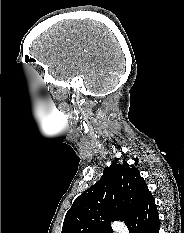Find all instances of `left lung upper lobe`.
I'll use <instances>...</instances> for the list:
<instances>
[{
  "mask_svg": "<svg viewBox=\"0 0 184 233\" xmlns=\"http://www.w3.org/2000/svg\"><path fill=\"white\" fill-rule=\"evenodd\" d=\"M147 192L138 169L113 162L97 183L75 199L61 233H112L111 223L126 224Z\"/></svg>",
  "mask_w": 184,
  "mask_h": 233,
  "instance_id": "left-lung-upper-lobe-1",
  "label": "left lung upper lobe"
}]
</instances>
